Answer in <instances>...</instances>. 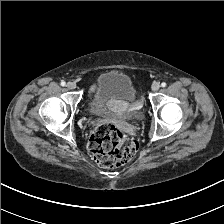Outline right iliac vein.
Here are the masks:
<instances>
[{"instance_id": "right-iliac-vein-1", "label": "right iliac vein", "mask_w": 224, "mask_h": 224, "mask_svg": "<svg viewBox=\"0 0 224 224\" xmlns=\"http://www.w3.org/2000/svg\"><path fill=\"white\" fill-rule=\"evenodd\" d=\"M66 87L70 90H73L76 88V84L74 82H68Z\"/></svg>"}]
</instances>
